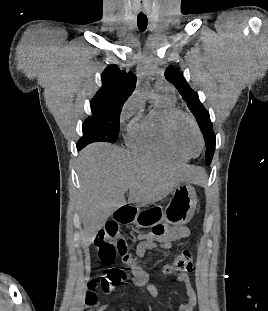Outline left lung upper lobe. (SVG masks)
<instances>
[{"label": "left lung upper lobe", "instance_id": "5c2ea615", "mask_svg": "<svg viewBox=\"0 0 268 311\" xmlns=\"http://www.w3.org/2000/svg\"><path fill=\"white\" fill-rule=\"evenodd\" d=\"M165 77L177 88L182 98L187 102L188 108L195 116L206 144V163L210 164L215 151L216 138L212 129L209 112L200 102L198 94L190 88L185 78L177 69L167 68Z\"/></svg>", "mask_w": 268, "mask_h": 311}]
</instances>
